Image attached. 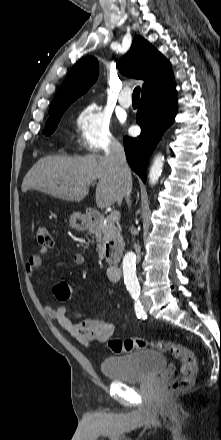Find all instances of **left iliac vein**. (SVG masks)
Masks as SVG:
<instances>
[{"label": "left iliac vein", "mask_w": 221, "mask_h": 440, "mask_svg": "<svg viewBox=\"0 0 221 440\" xmlns=\"http://www.w3.org/2000/svg\"><path fill=\"white\" fill-rule=\"evenodd\" d=\"M148 308H149V306H148V303H147V301H146V304H145V310L148 311Z\"/></svg>", "instance_id": "obj_1"}]
</instances>
